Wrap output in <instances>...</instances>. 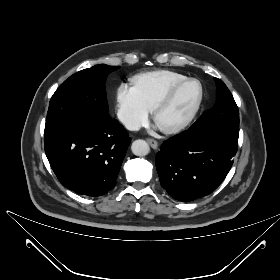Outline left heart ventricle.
Listing matches in <instances>:
<instances>
[{"label":"left heart ventricle","instance_id":"1","mask_svg":"<svg viewBox=\"0 0 280 280\" xmlns=\"http://www.w3.org/2000/svg\"><path fill=\"white\" fill-rule=\"evenodd\" d=\"M199 95V87L196 83L182 86L174 95L170 103L157 115L156 124L159 128H169L183 121Z\"/></svg>","mask_w":280,"mask_h":280}]
</instances>
